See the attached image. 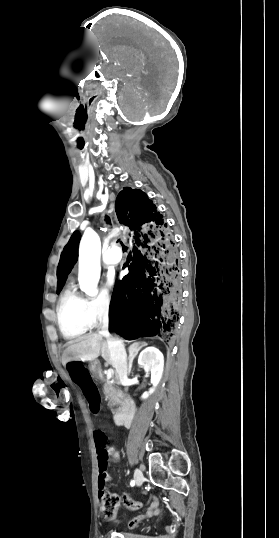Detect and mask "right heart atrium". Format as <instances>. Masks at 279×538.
<instances>
[{
    "mask_svg": "<svg viewBox=\"0 0 279 538\" xmlns=\"http://www.w3.org/2000/svg\"><path fill=\"white\" fill-rule=\"evenodd\" d=\"M113 313L114 302L112 296L108 292H101L100 294L90 298L89 314L93 326L108 320Z\"/></svg>",
    "mask_w": 279,
    "mask_h": 538,
    "instance_id": "1",
    "label": "right heart atrium"
}]
</instances>
